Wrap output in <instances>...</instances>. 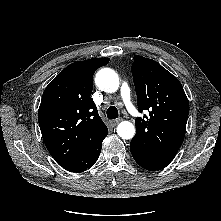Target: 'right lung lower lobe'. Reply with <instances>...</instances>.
<instances>
[{"mask_svg":"<svg viewBox=\"0 0 221 221\" xmlns=\"http://www.w3.org/2000/svg\"><path fill=\"white\" fill-rule=\"evenodd\" d=\"M108 130L87 149L83 150L76 158L62 166L71 172H83L97 161L101 152L102 141L107 136Z\"/></svg>","mask_w":221,"mask_h":221,"instance_id":"1","label":"right lung lower lobe"}]
</instances>
